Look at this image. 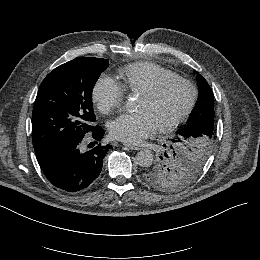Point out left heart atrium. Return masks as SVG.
I'll list each match as a JSON object with an SVG mask.
<instances>
[{
	"label": "left heart atrium",
	"instance_id": "39dd6f15",
	"mask_svg": "<svg viewBox=\"0 0 260 260\" xmlns=\"http://www.w3.org/2000/svg\"><path fill=\"white\" fill-rule=\"evenodd\" d=\"M110 134L127 143H138L152 135L156 125L145 109H139L134 113H123L110 123Z\"/></svg>",
	"mask_w": 260,
	"mask_h": 260
}]
</instances>
